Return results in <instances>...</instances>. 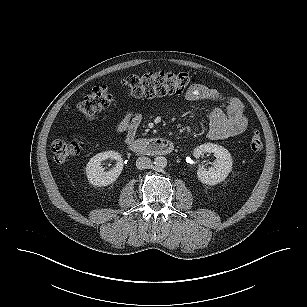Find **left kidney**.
Instances as JSON below:
<instances>
[{
	"label": "left kidney",
	"instance_id": "1",
	"mask_svg": "<svg viewBox=\"0 0 307 307\" xmlns=\"http://www.w3.org/2000/svg\"><path fill=\"white\" fill-rule=\"evenodd\" d=\"M204 153H213L216 157V161L213 167L208 170L203 167L199 168L197 171L198 179L203 184L208 185L221 183L232 170V158L230 153L224 147L213 143L202 144L197 146L193 151L195 158L201 157Z\"/></svg>",
	"mask_w": 307,
	"mask_h": 307
}]
</instances>
